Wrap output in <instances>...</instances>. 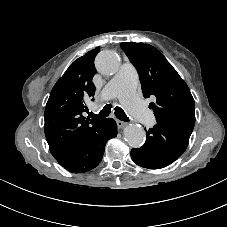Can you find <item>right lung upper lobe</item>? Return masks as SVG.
<instances>
[{"mask_svg": "<svg viewBox=\"0 0 227 227\" xmlns=\"http://www.w3.org/2000/svg\"><path fill=\"white\" fill-rule=\"evenodd\" d=\"M99 47L76 59L53 87L46 104L44 131L54 158L82 143L104 119L86 118L85 100L93 97L94 59Z\"/></svg>", "mask_w": 227, "mask_h": 227, "instance_id": "cb5924a9", "label": "right lung upper lobe"}]
</instances>
